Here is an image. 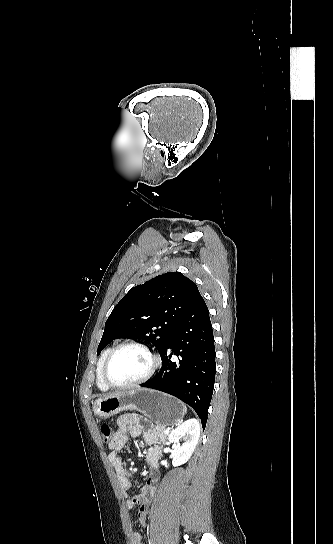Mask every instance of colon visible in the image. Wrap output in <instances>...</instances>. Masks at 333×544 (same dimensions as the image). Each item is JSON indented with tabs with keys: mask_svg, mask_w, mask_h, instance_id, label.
<instances>
[{
	"mask_svg": "<svg viewBox=\"0 0 333 544\" xmlns=\"http://www.w3.org/2000/svg\"><path fill=\"white\" fill-rule=\"evenodd\" d=\"M100 432H101L102 439L106 443H109L112 440V437H113L112 430L108 424H102L100 426Z\"/></svg>",
	"mask_w": 333,
	"mask_h": 544,
	"instance_id": "5ec220e1",
	"label": "colon"
}]
</instances>
